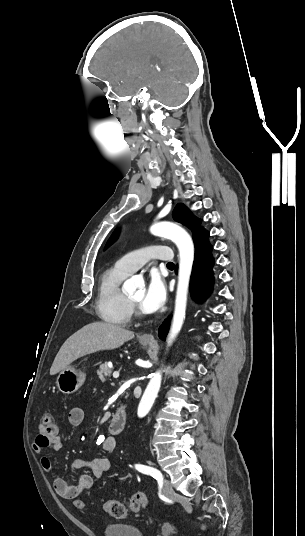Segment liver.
I'll list each match as a JSON object with an SVG mask.
<instances>
[{"instance_id": "liver-1", "label": "liver", "mask_w": 305, "mask_h": 536, "mask_svg": "<svg viewBox=\"0 0 305 536\" xmlns=\"http://www.w3.org/2000/svg\"><path fill=\"white\" fill-rule=\"evenodd\" d=\"M132 338H134V332L124 330L115 324H107V322L88 324L70 336L61 346L50 368V376L58 374L61 370H66L71 362L82 358V356L100 352V350L120 348L124 342L132 340Z\"/></svg>"}]
</instances>
